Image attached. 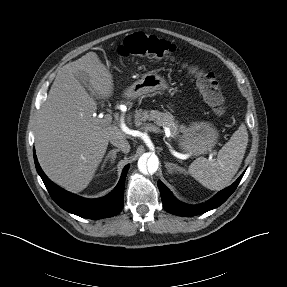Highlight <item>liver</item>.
<instances>
[{
	"label": "liver",
	"mask_w": 287,
	"mask_h": 287,
	"mask_svg": "<svg viewBox=\"0 0 287 287\" xmlns=\"http://www.w3.org/2000/svg\"><path fill=\"white\" fill-rule=\"evenodd\" d=\"M89 78L92 95L77 79ZM113 94V78L95 52L64 65L57 73L37 121L35 149L45 174L57 185L78 193L93 179L108 142L126 138L118 125L104 126L95 116L93 96Z\"/></svg>",
	"instance_id": "1"
}]
</instances>
